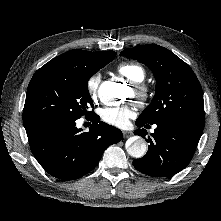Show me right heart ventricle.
Masks as SVG:
<instances>
[{"label":"right heart ventricle","instance_id":"e07e8e85","mask_svg":"<svg viewBox=\"0 0 221 221\" xmlns=\"http://www.w3.org/2000/svg\"><path fill=\"white\" fill-rule=\"evenodd\" d=\"M117 72L131 82H142L145 78V69L138 63L122 62L117 66Z\"/></svg>","mask_w":221,"mask_h":221}]
</instances>
